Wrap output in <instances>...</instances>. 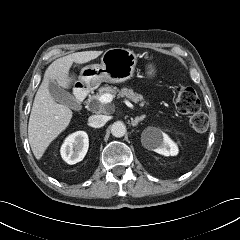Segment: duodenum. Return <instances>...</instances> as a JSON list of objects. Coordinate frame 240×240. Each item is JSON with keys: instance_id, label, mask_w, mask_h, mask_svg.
<instances>
[{"instance_id": "1", "label": "duodenum", "mask_w": 240, "mask_h": 240, "mask_svg": "<svg viewBox=\"0 0 240 240\" xmlns=\"http://www.w3.org/2000/svg\"><path fill=\"white\" fill-rule=\"evenodd\" d=\"M74 95L78 102H83L86 97V90L81 85H76Z\"/></svg>"}]
</instances>
